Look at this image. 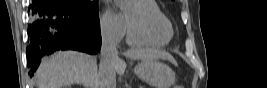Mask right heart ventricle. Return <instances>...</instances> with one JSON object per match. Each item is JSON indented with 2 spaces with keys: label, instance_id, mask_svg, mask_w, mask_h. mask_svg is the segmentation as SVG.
I'll return each instance as SVG.
<instances>
[{
  "label": "right heart ventricle",
  "instance_id": "obj_1",
  "mask_svg": "<svg viewBox=\"0 0 267 88\" xmlns=\"http://www.w3.org/2000/svg\"><path fill=\"white\" fill-rule=\"evenodd\" d=\"M134 3L142 5L145 9L149 10L150 12L159 15L165 26H170L171 23L167 16L162 12L159 5L154 0H135ZM128 42L131 45H145V46H162L166 44L168 41L165 40H155V39H147L143 37H139L134 35L128 31Z\"/></svg>",
  "mask_w": 267,
  "mask_h": 88
}]
</instances>
